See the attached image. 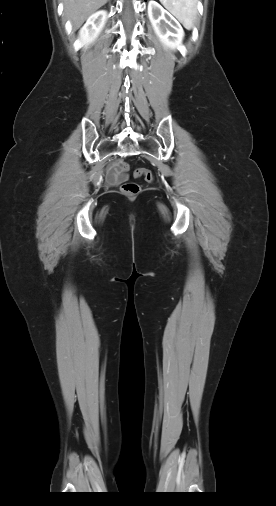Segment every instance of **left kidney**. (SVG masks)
<instances>
[{
    "mask_svg": "<svg viewBox=\"0 0 276 506\" xmlns=\"http://www.w3.org/2000/svg\"><path fill=\"white\" fill-rule=\"evenodd\" d=\"M148 16L160 42L172 50L177 49L182 43L184 31L176 19L153 0L148 4Z\"/></svg>",
    "mask_w": 276,
    "mask_h": 506,
    "instance_id": "left-kidney-1",
    "label": "left kidney"
}]
</instances>
